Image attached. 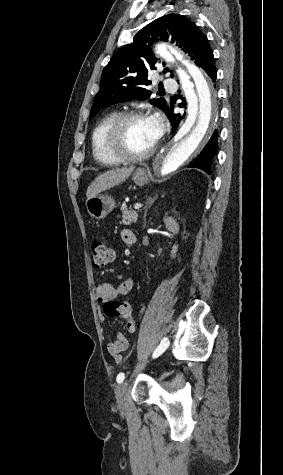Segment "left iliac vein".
Here are the masks:
<instances>
[{"label": "left iliac vein", "mask_w": 283, "mask_h": 475, "mask_svg": "<svg viewBox=\"0 0 283 475\" xmlns=\"http://www.w3.org/2000/svg\"><path fill=\"white\" fill-rule=\"evenodd\" d=\"M128 389V383L122 382L117 385L116 390H115V396L117 399V404L118 407L122 410L125 409L126 407V391Z\"/></svg>", "instance_id": "4c4485c4"}]
</instances>
